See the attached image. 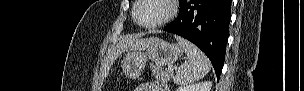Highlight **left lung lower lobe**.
Listing matches in <instances>:
<instances>
[{
    "instance_id": "left-lung-lower-lobe-1",
    "label": "left lung lower lobe",
    "mask_w": 304,
    "mask_h": 91,
    "mask_svg": "<svg viewBox=\"0 0 304 91\" xmlns=\"http://www.w3.org/2000/svg\"><path fill=\"white\" fill-rule=\"evenodd\" d=\"M179 15L164 30L197 45L210 59L217 79L224 65L231 18L230 0H181Z\"/></svg>"
}]
</instances>
